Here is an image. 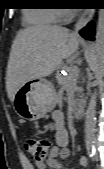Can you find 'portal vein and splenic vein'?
Here are the masks:
<instances>
[{
  "label": "portal vein and splenic vein",
  "mask_w": 104,
  "mask_h": 169,
  "mask_svg": "<svg viewBox=\"0 0 104 169\" xmlns=\"http://www.w3.org/2000/svg\"><path fill=\"white\" fill-rule=\"evenodd\" d=\"M69 71H70V73H72L73 75H78V73H79V69H78L77 66H72Z\"/></svg>",
  "instance_id": "18ae733b"
}]
</instances>
